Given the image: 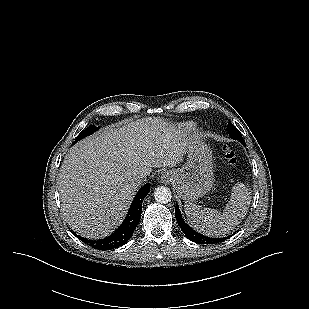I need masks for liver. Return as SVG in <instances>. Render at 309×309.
<instances>
[{
  "mask_svg": "<svg viewBox=\"0 0 309 309\" xmlns=\"http://www.w3.org/2000/svg\"><path fill=\"white\" fill-rule=\"evenodd\" d=\"M187 138L172 123L145 118L106 127L74 145L58 179L61 210L68 225L87 238L108 236L125 217L139 185L132 178L152 168L174 167Z\"/></svg>",
  "mask_w": 309,
  "mask_h": 309,
  "instance_id": "6515ba94",
  "label": "liver"
}]
</instances>
